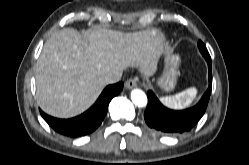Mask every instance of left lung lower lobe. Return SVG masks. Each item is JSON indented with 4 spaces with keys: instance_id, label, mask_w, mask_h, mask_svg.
I'll return each mask as SVG.
<instances>
[{
    "instance_id": "1",
    "label": "left lung lower lobe",
    "mask_w": 249,
    "mask_h": 165,
    "mask_svg": "<svg viewBox=\"0 0 249 165\" xmlns=\"http://www.w3.org/2000/svg\"><path fill=\"white\" fill-rule=\"evenodd\" d=\"M209 68V86L197 105L185 110H171L161 104L155 94L147 92L148 105L144 112V119L150 128L164 134H181L190 131L204 115L212 89L211 61H207Z\"/></svg>"
}]
</instances>
